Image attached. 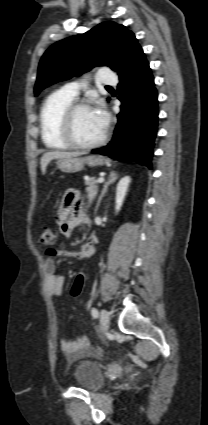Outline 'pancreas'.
<instances>
[{"label":"pancreas","instance_id":"1","mask_svg":"<svg viewBox=\"0 0 208 425\" xmlns=\"http://www.w3.org/2000/svg\"><path fill=\"white\" fill-rule=\"evenodd\" d=\"M97 180L95 177H92L90 179H88L85 184L88 185V187L86 188L87 191V198L89 202H92L98 192V186L96 185Z\"/></svg>","mask_w":208,"mask_h":425}]
</instances>
